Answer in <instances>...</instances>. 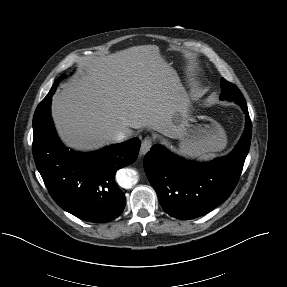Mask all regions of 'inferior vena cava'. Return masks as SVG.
Here are the masks:
<instances>
[{
  "instance_id": "602c4592",
  "label": "inferior vena cava",
  "mask_w": 287,
  "mask_h": 287,
  "mask_svg": "<svg viewBox=\"0 0 287 287\" xmlns=\"http://www.w3.org/2000/svg\"><path fill=\"white\" fill-rule=\"evenodd\" d=\"M128 138V135L125 132H116L112 135L111 140L114 143L122 142Z\"/></svg>"
}]
</instances>
